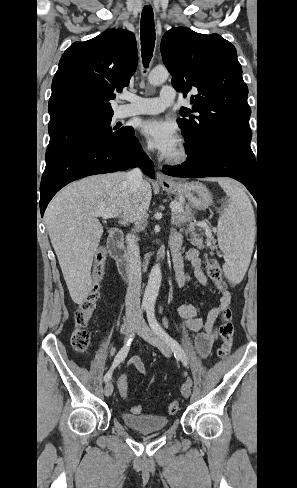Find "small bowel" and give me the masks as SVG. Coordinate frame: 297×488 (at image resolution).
<instances>
[{
  "mask_svg": "<svg viewBox=\"0 0 297 488\" xmlns=\"http://www.w3.org/2000/svg\"><path fill=\"white\" fill-rule=\"evenodd\" d=\"M183 236L178 231H172L169 237V248L172 255L175 278L180 288H186L193 279L201 286L208 284V278L203 272L200 252L197 248H190L183 256L181 247ZM184 261L188 262L192 274L186 269ZM231 305V294L228 290H221L220 303L212 308L205 319L200 316L201 309L197 305L184 304L177 308V313L183 319L184 326L195 334V342L198 353L206 357L216 340L218 316L229 309ZM130 365L134 366L142 375L148 374V369L139 357L131 358ZM120 381V380H119Z\"/></svg>",
  "mask_w": 297,
  "mask_h": 488,
  "instance_id": "obj_1",
  "label": "small bowel"
}]
</instances>
